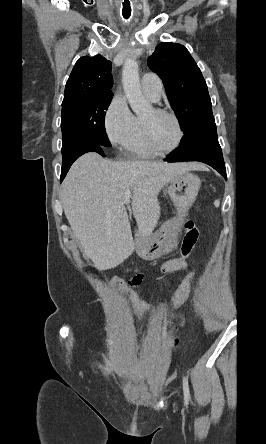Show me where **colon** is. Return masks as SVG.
Wrapping results in <instances>:
<instances>
[{
    "label": "colon",
    "mask_w": 266,
    "mask_h": 444,
    "mask_svg": "<svg viewBox=\"0 0 266 444\" xmlns=\"http://www.w3.org/2000/svg\"><path fill=\"white\" fill-rule=\"evenodd\" d=\"M199 270L193 269L181 281L178 289L166 300L158 303H146L137 295L129 293V304L135 316L144 318L155 314L167 312L180 307L189 297L196 283ZM129 285L131 286L130 282Z\"/></svg>",
    "instance_id": "5ec220e1"
}]
</instances>
